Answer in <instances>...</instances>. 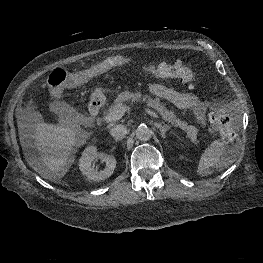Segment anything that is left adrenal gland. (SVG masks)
Masks as SVG:
<instances>
[{"mask_svg": "<svg viewBox=\"0 0 263 263\" xmlns=\"http://www.w3.org/2000/svg\"><path fill=\"white\" fill-rule=\"evenodd\" d=\"M154 125L160 129L162 138H166V131H168V125H162L161 123H154Z\"/></svg>", "mask_w": 263, "mask_h": 263, "instance_id": "obj_1", "label": "left adrenal gland"}]
</instances>
